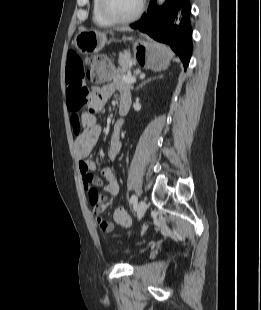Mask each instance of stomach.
I'll list each match as a JSON object with an SVG mask.
<instances>
[{
	"mask_svg": "<svg viewBox=\"0 0 261 310\" xmlns=\"http://www.w3.org/2000/svg\"><path fill=\"white\" fill-rule=\"evenodd\" d=\"M106 34L99 31H81L75 39V47L83 54L97 53L107 44ZM135 60L145 68L154 71L167 69L170 64V51L163 45L142 40L134 44Z\"/></svg>",
	"mask_w": 261,
	"mask_h": 310,
	"instance_id": "obj_1",
	"label": "stomach"
}]
</instances>
